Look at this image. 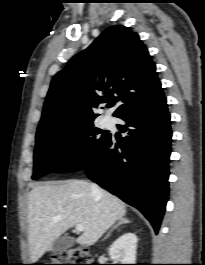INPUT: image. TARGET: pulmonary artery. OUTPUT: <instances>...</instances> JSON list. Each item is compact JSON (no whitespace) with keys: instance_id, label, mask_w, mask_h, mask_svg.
Listing matches in <instances>:
<instances>
[{"instance_id":"obj_1","label":"pulmonary artery","mask_w":205,"mask_h":265,"mask_svg":"<svg viewBox=\"0 0 205 265\" xmlns=\"http://www.w3.org/2000/svg\"><path fill=\"white\" fill-rule=\"evenodd\" d=\"M111 123H112V119L110 117H105L104 124L105 125H110Z\"/></svg>"}]
</instances>
